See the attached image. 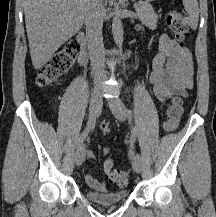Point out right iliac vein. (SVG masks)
Returning a JSON list of instances; mask_svg holds the SVG:
<instances>
[{
	"label": "right iliac vein",
	"instance_id": "63e3f726",
	"mask_svg": "<svg viewBox=\"0 0 216 217\" xmlns=\"http://www.w3.org/2000/svg\"><path fill=\"white\" fill-rule=\"evenodd\" d=\"M101 106H102L101 90L96 89L93 92L90 100L89 115H94L96 117V115L101 109ZM85 155H86L85 146L80 145L77 148L75 154V162L77 165H81L83 163V161L85 160Z\"/></svg>",
	"mask_w": 216,
	"mask_h": 217
}]
</instances>
